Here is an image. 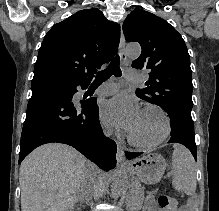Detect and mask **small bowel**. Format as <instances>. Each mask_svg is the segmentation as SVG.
<instances>
[{
  "label": "small bowel",
  "mask_w": 219,
  "mask_h": 211,
  "mask_svg": "<svg viewBox=\"0 0 219 211\" xmlns=\"http://www.w3.org/2000/svg\"><path fill=\"white\" fill-rule=\"evenodd\" d=\"M145 211H160L156 205L155 199L153 196H149L146 200ZM181 211H193L191 204L184 206Z\"/></svg>",
  "instance_id": "obj_1"
}]
</instances>
